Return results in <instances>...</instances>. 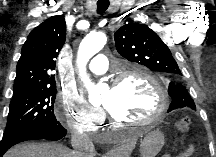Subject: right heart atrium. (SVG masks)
Returning a JSON list of instances; mask_svg holds the SVG:
<instances>
[{"label": "right heart atrium", "instance_id": "1", "mask_svg": "<svg viewBox=\"0 0 216 157\" xmlns=\"http://www.w3.org/2000/svg\"><path fill=\"white\" fill-rule=\"evenodd\" d=\"M55 114L70 131L83 135L95 133L105 121L103 110L89 105L76 91H66L58 99Z\"/></svg>", "mask_w": 216, "mask_h": 157}]
</instances>
